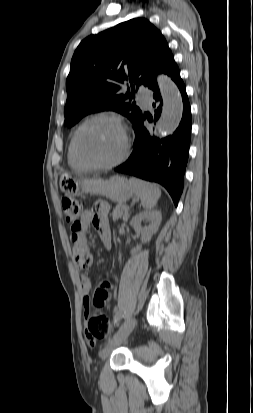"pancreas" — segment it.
Segmentation results:
<instances>
[{
  "label": "pancreas",
  "mask_w": 253,
  "mask_h": 413,
  "mask_svg": "<svg viewBox=\"0 0 253 413\" xmlns=\"http://www.w3.org/2000/svg\"><path fill=\"white\" fill-rule=\"evenodd\" d=\"M127 209H128V207H127L126 205H124V204H119V205H117V206L114 208V210H113V212H112V214H111L113 220L116 221V220H118L119 218H121L122 215H123V212H126Z\"/></svg>",
  "instance_id": "obj_1"
}]
</instances>
